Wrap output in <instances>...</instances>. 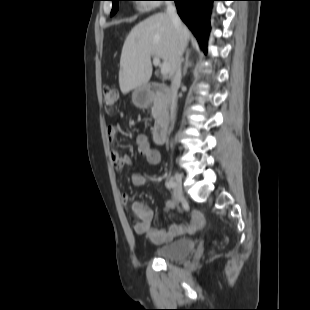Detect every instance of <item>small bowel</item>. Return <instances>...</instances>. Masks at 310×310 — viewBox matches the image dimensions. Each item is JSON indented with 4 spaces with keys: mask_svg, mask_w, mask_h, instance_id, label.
Masks as SVG:
<instances>
[{
    "mask_svg": "<svg viewBox=\"0 0 310 310\" xmlns=\"http://www.w3.org/2000/svg\"><path fill=\"white\" fill-rule=\"evenodd\" d=\"M108 139L111 144H114L118 137V130L115 126H109L107 129ZM136 144L139 154L144 156L148 163L156 165L161 162V154L154 149L148 137L140 134L136 137ZM111 161L113 168L116 171L122 170L126 166L132 164L129 156L121 154L118 150L112 149ZM132 184L134 186H142L147 182L158 183L159 179L154 176H144L140 173H135L132 176ZM122 201L128 211L134 218L133 230L138 235H144L150 242L154 244H163L170 242L182 234H193L205 225V216L200 211L192 213L190 221L181 224H171L168 228H153V211L143 202L132 201L128 193L122 194ZM176 205V200H169L165 204V209L170 210Z\"/></svg>",
    "mask_w": 310,
    "mask_h": 310,
    "instance_id": "obj_1",
    "label": "small bowel"
}]
</instances>
